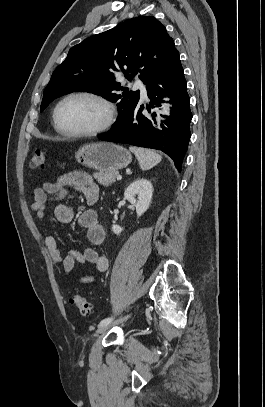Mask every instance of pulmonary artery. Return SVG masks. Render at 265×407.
<instances>
[{
  "label": "pulmonary artery",
  "instance_id": "1",
  "mask_svg": "<svg viewBox=\"0 0 265 407\" xmlns=\"http://www.w3.org/2000/svg\"><path fill=\"white\" fill-rule=\"evenodd\" d=\"M135 86L140 89L142 97L146 98L147 97V91H146V87L143 85L142 81L139 80V79L136 80Z\"/></svg>",
  "mask_w": 265,
  "mask_h": 407
}]
</instances>
